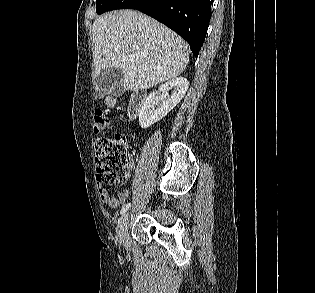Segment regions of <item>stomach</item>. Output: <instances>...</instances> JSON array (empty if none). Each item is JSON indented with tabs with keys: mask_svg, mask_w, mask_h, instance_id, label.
<instances>
[{
	"mask_svg": "<svg viewBox=\"0 0 315 293\" xmlns=\"http://www.w3.org/2000/svg\"><path fill=\"white\" fill-rule=\"evenodd\" d=\"M117 102V97L116 96H107L106 97V104L109 106L110 109L114 108L113 103Z\"/></svg>",
	"mask_w": 315,
	"mask_h": 293,
	"instance_id": "1",
	"label": "stomach"
}]
</instances>
